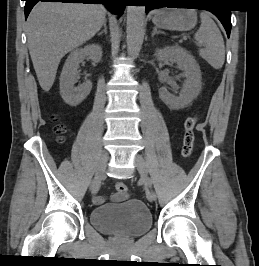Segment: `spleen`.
I'll list each match as a JSON object with an SVG mask.
<instances>
[{
	"instance_id": "spleen-1",
	"label": "spleen",
	"mask_w": 259,
	"mask_h": 266,
	"mask_svg": "<svg viewBox=\"0 0 259 266\" xmlns=\"http://www.w3.org/2000/svg\"><path fill=\"white\" fill-rule=\"evenodd\" d=\"M201 25L194 38L204 48L199 55L214 69H221L225 61V45L219 28L206 12L200 13Z\"/></svg>"
}]
</instances>
